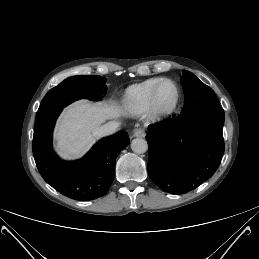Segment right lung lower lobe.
<instances>
[{"instance_id":"right-lung-lower-lobe-1","label":"right lung lower lobe","mask_w":259,"mask_h":259,"mask_svg":"<svg viewBox=\"0 0 259 259\" xmlns=\"http://www.w3.org/2000/svg\"><path fill=\"white\" fill-rule=\"evenodd\" d=\"M62 108L38 118L32 150L37 168L46 182L61 194L90 201L106 194L115 176L118 154L129 144L127 132L120 131L101 139L82 159L62 161L52 149V132Z\"/></svg>"}]
</instances>
